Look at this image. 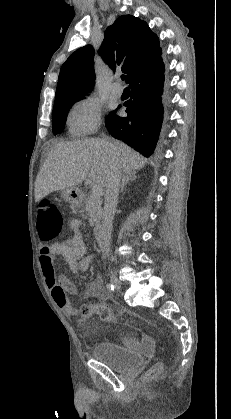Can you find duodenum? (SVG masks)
<instances>
[{
    "label": "duodenum",
    "instance_id": "1",
    "mask_svg": "<svg viewBox=\"0 0 231 419\" xmlns=\"http://www.w3.org/2000/svg\"><path fill=\"white\" fill-rule=\"evenodd\" d=\"M94 234L97 241L102 240L103 232H102V227L100 224L95 225Z\"/></svg>",
    "mask_w": 231,
    "mask_h": 419
}]
</instances>
